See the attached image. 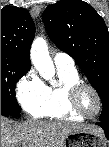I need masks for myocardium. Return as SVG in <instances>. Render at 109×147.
I'll return each instance as SVG.
<instances>
[{
  "label": "myocardium",
  "mask_w": 109,
  "mask_h": 147,
  "mask_svg": "<svg viewBox=\"0 0 109 147\" xmlns=\"http://www.w3.org/2000/svg\"><path fill=\"white\" fill-rule=\"evenodd\" d=\"M84 89L90 90L97 99V110L93 115H87L86 113L82 111V109L79 106V96ZM68 102H69L70 108L72 109L74 113L86 119H91L97 116L99 112L101 111V107H102V101L98 91L93 86L85 83L82 80L74 83L70 87L68 91Z\"/></svg>",
  "instance_id": "1"
}]
</instances>
